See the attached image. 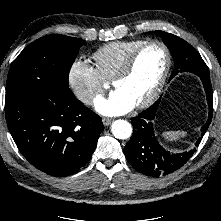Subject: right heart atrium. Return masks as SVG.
Returning <instances> with one entry per match:
<instances>
[{
  "label": "right heart atrium",
  "instance_id": "d8ad5b80",
  "mask_svg": "<svg viewBox=\"0 0 221 221\" xmlns=\"http://www.w3.org/2000/svg\"><path fill=\"white\" fill-rule=\"evenodd\" d=\"M68 83L76 98L87 105L93 104L105 90V79L97 67L84 59L72 63Z\"/></svg>",
  "mask_w": 221,
  "mask_h": 221
}]
</instances>
